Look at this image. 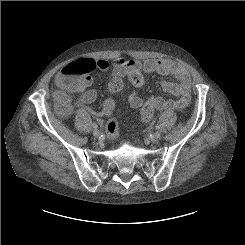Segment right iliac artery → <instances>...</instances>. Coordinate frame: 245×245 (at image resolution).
Returning a JSON list of instances; mask_svg holds the SVG:
<instances>
[{"mask_svg":"<svg viewBox=\"0 0 245 245\" xmlns=\"http://www.w3.org/2000/svg\"><path fill=\"white\" fill-rule=\"evenodd\" d=\"M97 127H98L97 124L94 123V124H93V128L97 129Z\"/></svg>","mask_w":245,"mask_h":245,"instance_id":"1","label":"right iliac artery"}]
</instances>
